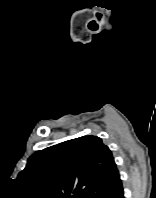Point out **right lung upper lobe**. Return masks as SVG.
Masks as SVG:
<instances>
[{
    "label": "right lung upper lobe",
    "instance_id": "obj_1",
    "mask_svg": "<svg viewBox=\"0 0 156 198\" xmlns=\"http://www.w3.org/2000/svg\"><path fill=\"white\" fill-rule=\"evenodd\" d=\"M18 180L40 198H110L122 187L112 153L97 136L37 151Z\"/></svg>",
    "mask_w": 156,
    "mask_h": 198
}]
</instances>
